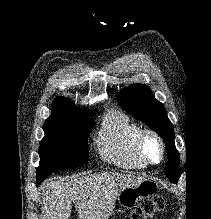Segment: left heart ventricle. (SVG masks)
I'll list each match as a JSON object with an SVG mask.
<instances>
[{"instance_id":"1","label":"left heart ventricle","mask_w":211,"mask_h":219,"mask_svg":"<svg viewBox=\"0 0 211 219\" xmlns=\"http://www.w3.org/2000/svg\"><path fill=\"white\" fill-rule=\"evenodd\" d=\"M145 152L152 160H157L159 157V146L152 139H148L144 145Z\"/></svg>"}]
</instances>
